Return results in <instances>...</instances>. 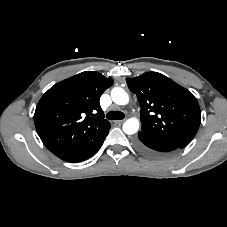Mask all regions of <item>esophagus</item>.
Returning <instances> with one entry per match:
<instances>
[{"instance_id":"esophagus-1","label":"esophagus","mask_w":227,"mask_h":227,"mask_svg":"<svg viewBox=\"0 0 227 227\" xmlns=\"http://www.w3.org/2000/svg\"><path fill=\"white\" fill-rule=\"evenodd\" d=\"M124 121H125V119H123V120H117V121H115V123L120 125V124H122Z\"/></svg>"}]
</instances>
